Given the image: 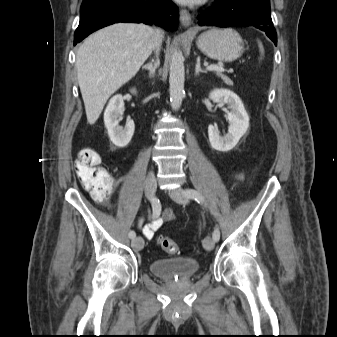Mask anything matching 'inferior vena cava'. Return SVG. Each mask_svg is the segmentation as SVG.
Listing matches in <instances>:
<instances>
[{"mask_svg":"<svg viewBox=\"0 0 337 337\" xmlns=\"http://www.w3.org/2000/svg\"><path fill=\"white\" fill-rule=\"evenodd\" d=\"M161 42H162V35H161V32L157 30L156 31V44H155L156 52L159 51Z\"/></svg>","mask_w":337,"mask_h":337,"instance_id":"602c4592","label":"inferior vena cava"}]
</instances>
